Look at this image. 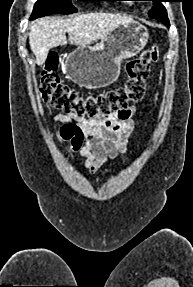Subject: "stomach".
<instances>
[{"mask_svg": "<svg viewBox=\"0 0 193 287\" xmlns=\"http://www.w3.org/2000/svg\"><path fill=\"white\" fill-rule=\"evenodd\" d=\"M147 28L131 21L119 25L96 47L79 46L66 59L68 79L80 87L103 88L116 81L122 60L136 56L148 42Z\"/></svg>", "mask_w": 193, "mask_h": 287, "instance_id": "stomach-1", "label": "stomach"}]
</instances>
